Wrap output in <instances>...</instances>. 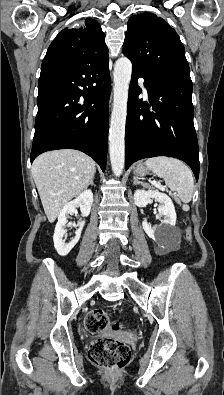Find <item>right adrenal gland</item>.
I'll return each instance as SVG.
<instances>
[{"mask_svg": "<svg viewBox=\"0 0 224 395\" xmlns=\"http://www.w3.org/2000/svg\"><path fill=\"white\" fill-rule=\"evenodd\" d=\"M89 185H94V178L90 180Z\"/></svg>", "mask_w": 224, "mask_h": 395, "instance_id": "1", "label": "right adrenal gland"}]
</instances>
